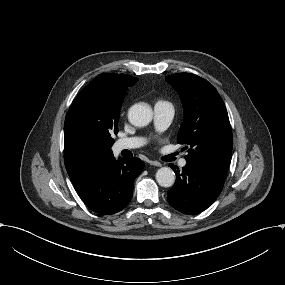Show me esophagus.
<instances>
[{"instance_id": "esophagus-1", "label": "esophagus", "mask_w": 285, "mask_h": 285, "mask_svg": "<svg viewBox=\"0 0 285 285\" xmlns=\"http://www.w3.org/2000/svg\"><path fill=\"white\" fill-rule=\"evenodd\" d=\"M149 164L156 167H161L162 164L158 161H149Z\"/></svg>"}]
</instances>
